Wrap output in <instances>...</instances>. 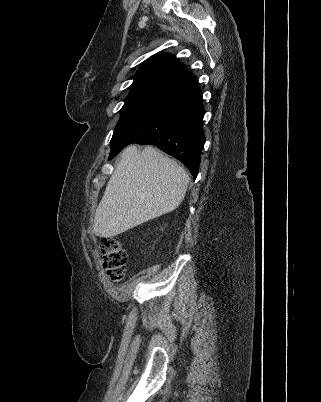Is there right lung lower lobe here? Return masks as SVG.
<instances>
[{
    "label": "right lung lower lobe",
    "mask_w": 321,
    "mask_h": 402,
    "mask_svg": "<svg viewBox=\"0 0 321 402\" xmlns=\"http://www.w3.org/2000/svg\"><path fill=\"white\" fill-rule=\"evenodd\" d=\"M204 112L198 82L189 77L111 140V158L131 143L155 145L181 161L195 179L205 143Z\"/></svg>",
    "instance_id": "98d812e1"
}]
</instances>
